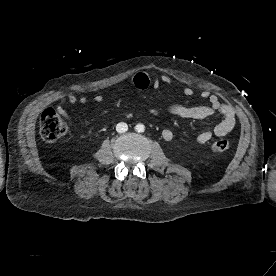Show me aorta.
Segmentation results:
<instances>
[{"label": "aorta", "mask_w": 276, "mask_h": 276, "mask_svg": "<svg viewBox=\"0 0 276 276\" xmlns=\"http://www.w3.org/2000/svg\"><path fill=\"white\" fill-rule=\"evenodd\" d=\"M135 130L138 132V133H142L145 131V126L143 124H137L135 126Z\"/></svg>", "instance_id": "1"}]
</instances>
